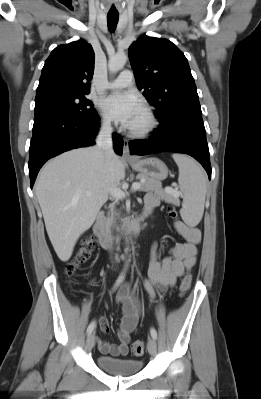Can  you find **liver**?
<instances>
[{
    "mask_svg": "<svg viewBox=\"0 0 261 399\" xmlns=\"http://www.w3.org/2000/svg\"><path fill=\"white\" fill-rule=\"evenodd\" d=\"M124 178L122 159L115 153L107 158L97 146L65 152L42 168L35 194L61 261L70 259L77 240Z\"/></svg>",
    "mask_w": 261,
    "mask_h": 399,
    "instance_id": "obj_1",
    "label": "liver"
}]
</instances>
